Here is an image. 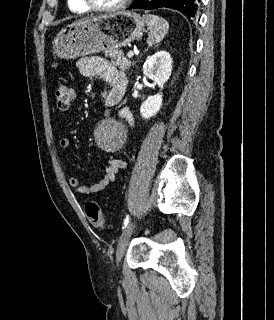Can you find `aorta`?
<instances>
[{"label": "aorta", "instance_id": "1", "mask_svg": "<svg viewBox=\"0 0 274 320\" xmlns=\"http://www.w3.org/2000/svg\"><path fill=\"white\" fill-rule=\"evenodd\" d=\"M124 131V126L120 122L111 119L98 125L94 132V137L99 147L113 151L121 144Z\"/></svg>", "mask_w": 274, "mask_h": 320}]
</instances>
